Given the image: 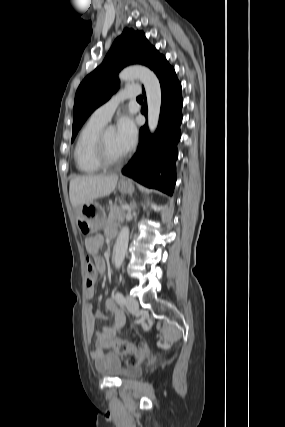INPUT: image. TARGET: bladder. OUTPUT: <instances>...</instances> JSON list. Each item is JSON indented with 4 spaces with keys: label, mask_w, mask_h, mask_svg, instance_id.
I'll return each instance as SVG.
<instances>
[{
    "label": "bladder",
    "mask_w": 285,
    "mask_h": 427,
    "mask_svg": "<svg viewBox=\"0 0 285 427\" xmlns=\"http://www.w3.org/2000/svg\"><path fill=\"white\" fill-rule=\"evenodd\" d=\"M105 375L114 376L122 379L137 378L142 374L139 366L123 367L120 362L111 365L104 371Z\"/></svg>",
    "instance_id": "1"
}]
</instances>
